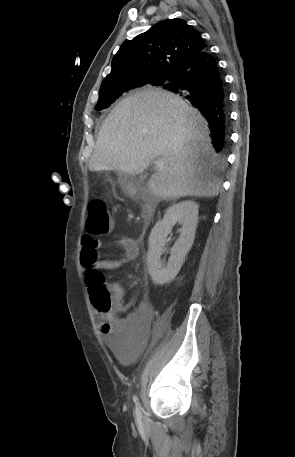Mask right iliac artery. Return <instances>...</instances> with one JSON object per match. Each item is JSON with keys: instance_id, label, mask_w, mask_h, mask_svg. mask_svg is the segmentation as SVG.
Segmentation results:
<instances>
[{"instance_id": "1", "label": "right iliac artery", "mask_w": 295, "mask_h": 457, "mask_svg": "<svg viewBox=\"0 0 295 457\" xmlns=\"http://www.w3.org/2000/svg\"><path fill=\"white\" fill-rule=\"evenodd\" d=\"M134 401L136 403V409H135V413L138 417L141 416V412H140V407H139V402H138V399L137 397H134Z\"/></svg>"}]
</instances>
